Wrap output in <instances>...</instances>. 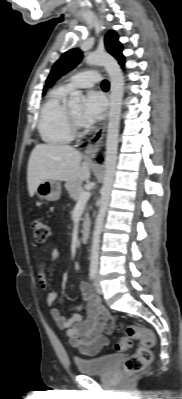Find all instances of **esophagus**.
<instances>
[{"label": "esophagus", "instance_id": "obj_1", "mask_svg": "<svg viewBox=\"0 0 182 399\" xmlns=\"http://www.w3.org/2000/svg\"><path fill=\"white\" fill-rule=\"evenodd\" d=\"M107 122H108V110L106 111L104 119L100 124V126L98 127V129L95 131L93 136L87 141V147L84 151L85 158H93L97 150L102 145L107 127Z\"/></svg>", "mask_w": 182, "mask_h": 399}]
</instances>
